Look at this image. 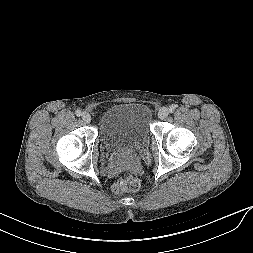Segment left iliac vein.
<instances>
[{
    "instance_id": "1",
    "label": "left iliac vein",
    "mask_w": 253,
    "mask_h": 253,
    "mask_svg": "<svg viewBox=\"0 0 253 253\" xmlns=\"http://www.w3.org/2000/svg\"><path fill=\"white\" fill-rule=\"evenodd\" d=\"M168 114H169L168 108L162 107L158 112V117L163 120L168 116Z\"/></svg>"
}]
</instances>
